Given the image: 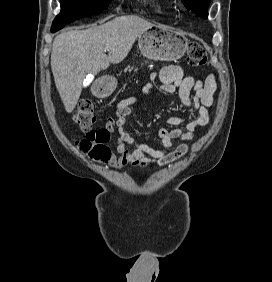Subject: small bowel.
Here are the masks:
<instances>
[{
    "label": "small bowel",
    "mask_w": 272,
    "mask_h": 282,
    "mask_svg": "<svg viewBox=\"0 0 272 282\" xmlns=\"http://www.w3.org/2000/svg\"><path fill=\"white\" fill-rule=\"evenodd\" d=\"M155 78L156 76L151 77L145 84L144 94H151ZM158 78L163 83L158 89L159 93H173L177 90L181 102L193 111L192 118L187 122L186 131L179 128L160 129L158 135L162 147L159 149L141 143L124 130L126 119L132 114L130 105L137 100L133 98L123 100L117 106L115 115L106 123V128L109 130L116 128L118 133L116 154L109 161V167L121 169L128 165L157 164L165 166L171 164L177 159L184 158L189 151V146L186 143L180 144L174 151H171L173 141L176 139L188 141L195 136L199 128L208 124V108L213 104V94L216 90V79L213 74L202 81L185 75L179 66L169 65L159 72ZM185 121V117L174 116L167 119V124L177 126Z\"/></svg>",
    "instance_id": "1"
}]
</instances>
